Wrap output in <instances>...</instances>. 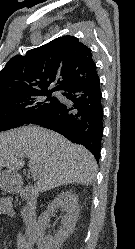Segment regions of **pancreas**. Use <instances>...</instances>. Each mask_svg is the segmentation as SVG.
Returning a JSON list of instances; mask_svg holds the SVG:
<instances>
[{
    "label": "pancreas",
    "mask_w": 135,
    "mask_h": 249,
    "mask_svg": "<svg viewBox=\"0 0 135 249\" xmlns=\"http://www.w3.org/2000/svg\"><path fill=\"white\" fill-rule=\"evenodd\" d=\"M27 212H28V208L26 207L22 211V217H23L24 221H26V219H27Z\"/></svg>",
    "instance_id": "cf45deb5"
}]
</instances>
